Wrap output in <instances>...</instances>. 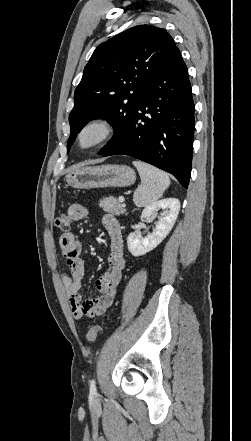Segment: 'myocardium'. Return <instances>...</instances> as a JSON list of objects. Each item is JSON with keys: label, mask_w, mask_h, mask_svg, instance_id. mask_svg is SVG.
Segmentation results:
<instances>
[{"label": "myocardium", "mask_w": 251, "mask_h": 441, "mask_svg": "<svg viewBox=\"0 0 251 441\" xmlns=\"http://www.w3.org/2000/svg\"><path fill=\"white\" fill-rule=\"evenodd\" d=\"M96 131V137L89 144L83 143L84 135L91 131ZM116 133V126L106 115H96L89 118L78 130L76 144L82 150H92L109 141Z\"/></svg>", "instance_id": "obj_1"}]
</instances>
